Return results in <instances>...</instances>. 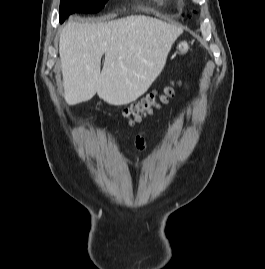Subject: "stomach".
I'll list each match as a JSON object with an SVG mask.
<instances>
[{
    "label": "stomach",
    "instance_id": "stomach-1",
    "mask_svg": "<svg viewBox=\"0 0 265 269\" xmlns=\"http://www.w3.org/2000/svg\"><path fill=\"white\" fill-rule=\"evenodd\" d=\"M190 48V44L186 40H182L177 44L176 53L184 54Z\"/></svg>",
    "mask_w": 265,
    "mask_h": 269
}]
</instances>
